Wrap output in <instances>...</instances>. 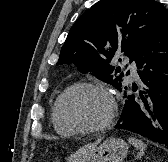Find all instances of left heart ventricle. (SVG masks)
I'll list each match as a JSON object with an SVG mask.
<instances>
[{
    "label": "left heart ventricle",
    "mask_w": 168,
    "mask_h": 162,
    "mask_svg": "<svg viewBox=\"0 0 168 162\" xmlns=\"http://www.w3.org/2000/svg\"><path fill=\"white\" fill-rule=\"evenodd\" d=\"M63 108L69 120L82 125H96L107 119L111 103L101 92L80 89L65 99Z\"/></svg>",
    "instance_id": "obj_1"
}]
</instances>
